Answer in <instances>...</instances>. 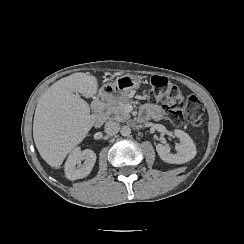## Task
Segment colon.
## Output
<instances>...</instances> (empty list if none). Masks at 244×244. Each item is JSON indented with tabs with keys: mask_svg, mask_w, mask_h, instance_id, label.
I'll return each instance as SVG.
<instances>
[{
	"mask_svg": "<svg viewBox=\"0 0 244 244\" xmlns=\"http://www.w3.org/2000/svg\"><path fill=\"white\" fill-rule=\"evenodd\" d=\"M148 99L151 103L164 104V111L172 117L175 125L183 122L182 114L194 126H198L204 114V105L197 96L190 95L185 100L180 96L178 86L166 77L159 75L151 79V91Z\"/></svg>",
	"mask_w": 244,
	"mask_h": 244,
	"instance_id": "obj_1",
	"label": "colon"
}]
</instances>
